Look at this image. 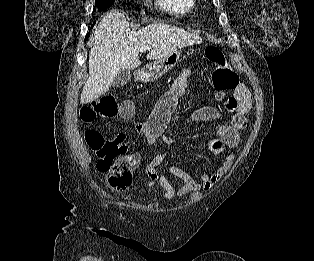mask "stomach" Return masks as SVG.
Instances as JSON below:
<instances>
[{"instance_id": "obj_1", "label": "stomach", "mask_w": 314, "mask_h": 261, "mask_svg": "<svg viewBox=\"0 0 314 261\" xmlns=\"http://www.w3.org/2000/svg\"><path fill=\"white\" fill-rule=\"evenodd\" d=\"M181 50L155 60L136 71V79L143 83L154 82L172 69L179 61Z\"/></svg>"}]
</instances>
